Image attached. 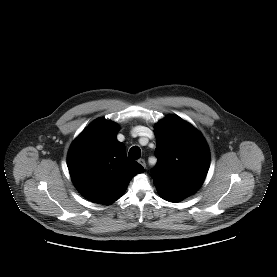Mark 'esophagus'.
Wrapping results in <instances>:
<instances>
[{
  "mask_svg": "<svg viewBox=\"0 0 277 277\" xmlns=\"http://www.w3.org/2000/svg\"><path fill=\"white\" fill-rule=\"evenodd\" d=\"M138 162L145 168L146 167V163L144 159H139Z\"/></svg>",
  "mask_w": 277,
  "mask_h": 277,
  "instance_id": "1",
  "label": "esophagus"
}]
</instances>
